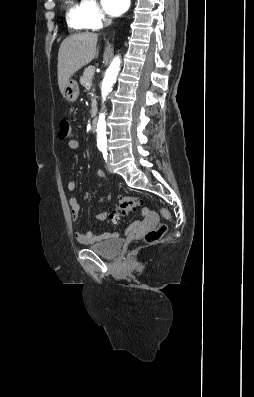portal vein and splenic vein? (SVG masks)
<instances>
[{
  "instance_id": "1",
  "label": "portal vein and splenic vein",
  "mask_w": 254,
  "mask_h": 397,
  "mask_svg": "<svg viewBox=\"0 0 254 397\" xmlns=\"http://www.w3.org/2000/svg\"><path fill=\"white\" fill-rule=\"evenodd\" d=\"M87 85H88V86H91V84H90V83H88Z\"/></svg>"
}]
</instances>
